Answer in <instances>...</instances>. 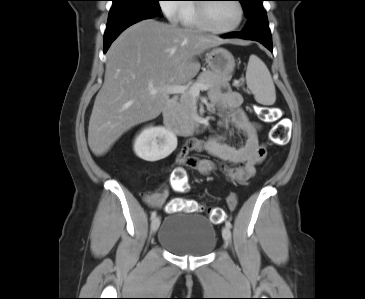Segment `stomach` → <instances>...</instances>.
<instances>
[{"label":"stomach","instance_id":"stomach-1","mask_svg":"<svg viewBox=\"0 0 365 299\" xmlns=\"http://www.w3.org/2000/svg\"><path fill=\"white\" fill-rule=\"evenodd\" d=\"M208 67L214 73L230 77L235 68L233 55L224 48H213L206 53Z\"/></svg>","mask_w":365,"mask_h":299}]
</instances>
